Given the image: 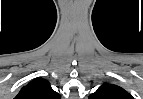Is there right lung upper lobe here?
<instances>
[{
    "instance_id": "1",
    "label": "right lung upper lobe",
    "mask_w": 143,
    "mask_h": 99,
    "mask_svg": "<svg viewBox=\"0 0 143 99\" xmlns=\"http://www.w3.org/2000/svg\"><path fill=\"white\" fill-rule=\"evenodd\" d=\"M15 99H60L50 83L42 78H36L24 86Z\"/></svg>"
}]
</instances>
